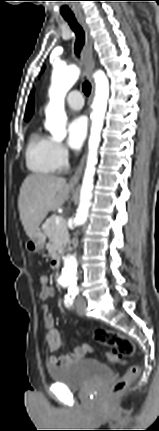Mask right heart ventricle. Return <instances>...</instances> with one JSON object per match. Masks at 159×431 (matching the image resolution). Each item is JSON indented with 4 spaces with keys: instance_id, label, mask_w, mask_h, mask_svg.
Listing matches in <instances>:
<instances>
[{
    "instance_id": "e07e8e85",
    "label": "right heart ventricle",
    "mask_w": 159,
    "mask_h": 431,
    "mask_svg": "<svg viewBox=\"0 0 159 431\" xmlns=\"http://www.w3.org/2000/svg\"><path fill=\"white\" fill-rule=\"evenodd\" d=\"M26 164L34 173L51 174L57 171L51 153V140L34 131L28 140L25 152Z\"/></svg>"
}]
</instances>
